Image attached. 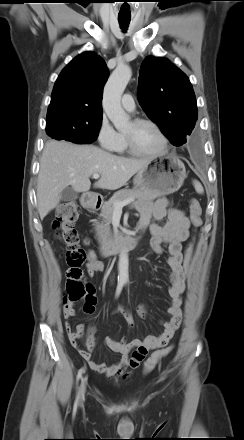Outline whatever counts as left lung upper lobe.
<instances>
[{
    "label": "left lung upper lobe",
    "instance_id": "obj_1",
    "mask_svg": "<svg viewBox=\"0 0 244 440\" xmlns=\"http://www.w3.org/2000/svg\"><path fill=\"white\" fill-rule=\"evenodd\" d=\"M138 100L173 145L186 143L198 113L192 85L184 72L166 58L147 57L140 68Z\"/></svg>",
    "mask_w": 244,
    "mask_h": 440
}]
</instances>
